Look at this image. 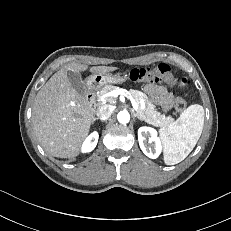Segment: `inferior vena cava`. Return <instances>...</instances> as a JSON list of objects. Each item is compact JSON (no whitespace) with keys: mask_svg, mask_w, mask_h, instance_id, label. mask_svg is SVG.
<instances>
[{"mask_svg":"<svg viewBox=\"0 0 231 231\" xmlns=\"http://www.w3.org/2000/svg\"><path fill=\"white\" fill-rule=\"evenodd\" d=\"M96 114L98 119L107 120L112 114V109L108 105H102L98 107Z\"/></svg>","mask_w":231,"mask_h":231,"instance_id":"inferior-vena-cava-1","label":"inferior vena cava"}]
</instances>
